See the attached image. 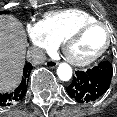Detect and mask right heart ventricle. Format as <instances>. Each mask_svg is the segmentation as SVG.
<instances>
[{
    "label": "right heart ventricle",
    "instance_id": "right-heart-ventricle-1",
    "mask_svg": "<svg viewBox=\"0 0 117 117\" xmlns=\"http://www.w3.org/2000/svg\"><path fill=\"white\" fill-rule=\"evenodd\" d=\"M97 19L90 13L80 9H67L47 13L41 21L49 35L61 43L78 26Z\"/></svg>",
    "mask_w": 117,
    "mask_h": 117
}]
</instances>
